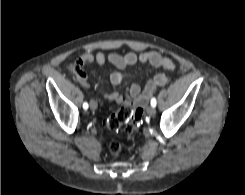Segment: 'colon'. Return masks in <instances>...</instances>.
<instances>
[{"instance_id": "1", "label": "colon", "mask_w": 245, "mask_h": 195, "mask_svg": "<svg viewBox=\"0 0 245 195\" xmlns=\"http://www.w3.org/2000/svg\"><path fill=\"white\" fill-rule=\"evenodd\" d=\"M73 68L74 70L76 69L75 65ZM142 114L143 109L141 107L126 105L121 107L118 111L106 116L104 125L111 131L124 129L127 133L131 134L139 127ZM109 151L113 157L119 156L122 151L121 143L116 139H111L109 142Z\"/></svg>"}]
</instances>
